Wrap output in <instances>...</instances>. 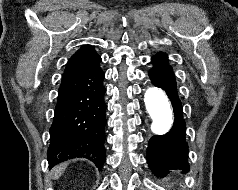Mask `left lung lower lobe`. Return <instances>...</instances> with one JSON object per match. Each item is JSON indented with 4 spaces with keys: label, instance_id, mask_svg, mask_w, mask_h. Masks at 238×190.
I'll return each mask as SVG.
<instances>
[{
    "label": "left lung lower lobe",
    "instance_id": "left-lung-lower-lobe-1",
    "mask_svg": "<svg viewBox=\"0 0 238 190\" xmlns=\"http://www.w3.org/2000/svg\"><path fill=\"white\" fill-rule=\"evenodd\" d=\"M152 69L148 72L152 83L162 88L170 99L174 111L172 128L164 135L150 138L147 149L148 164L157 176L169 170H189L188 144L185 140L186 124L183 119V108L177 93L175 75L168 63V56L159 52L152 57Z\"/></svg>",
    "mask_w": 238,
    "mask_h": 190
}]
</instances>
